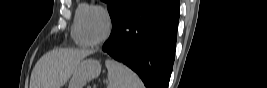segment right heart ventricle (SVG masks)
Here are the masks:
<instances>
[{"instance_id": "obj_1", "label": "right heart ventricle", "mask_w": 267, "mask_h": 88, "mask_svg": "<svg viewBox=\"0 0 267 88\" xmlns=\"http://www.w3.org/2000/svg\"><path fill=\"white\" fill-rule=\"evenodd\" d=\"M94 5H90L84 2H79L74 11V16L71 24L70 34L73 39V41L79 45V46H86L84 41L81 38L80 32H79V26H80V20L82 14L89 8L93 7Z\"/></svg>"}]
</instances>
